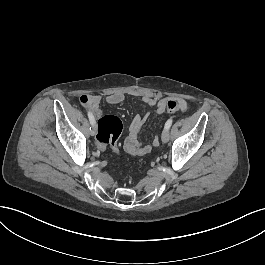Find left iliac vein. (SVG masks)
<instances>
[{"label": "left iliac vein", "instance_id": "4c4485c4", "mask_svg": "<svg viewBox=\"0 0 265 265\" xmlns=\"http://www.w3.org/2000/svg\"><path fill=\"white\" fill-rule=\"evenodd\" d=\"M169 137H170L169 129H164L161 136L162 142L166 143L169 140Z\"/></svg>", "mask_w": 265, "mask_h": 265}]
</instances>
